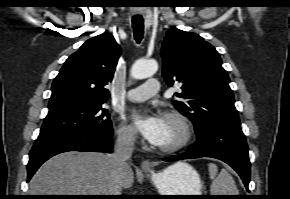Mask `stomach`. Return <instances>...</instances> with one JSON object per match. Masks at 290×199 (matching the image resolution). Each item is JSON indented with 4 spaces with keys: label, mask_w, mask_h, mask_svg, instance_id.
I'll return each instance as SVG.
<instances>
[{
    "label": "stomach",
    "mask_w": 290,
    "mask_h": 199,
    "mask_svg": "<svg viewBox=\"0 0 290 199\" xmlns=\"http://www.w3.org/2000/svg\"><path fill=\"white\" fill-rule=\"evenodd\" d=\"M146 176L155 184L161 195H201L200 176L187 163L178 162L159 173L147 172Z\"/></svg>",
    "instance_id": "1"
}]
</instances>
